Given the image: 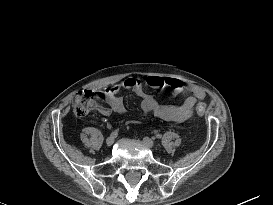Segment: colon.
Segmentation results:
<instances>
[{"instance_id":"obj_1","label":"colon","mask_w":273,"mask_h":205,"mask_svg":"<svg viewBox=\"0 0 273 205\" xmlns=\"http://www.w3.org/2000/svg\"><path fill=\"white\" fill-rule=\"evenodd\" d=\"M102 94L95 90H81L75 93L72 98V106L77 116L83 117L99 108ZM196 111L199 115L206 113V106L198 104Z\"/></svg>"}]
</instances>
